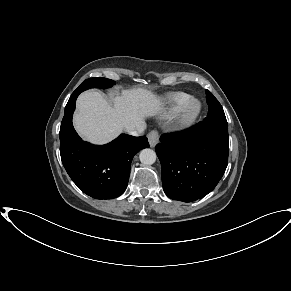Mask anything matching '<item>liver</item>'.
<instances>
[{"label": "liver", "instance_id": "1", "mask_svg": "<svg viewBox=\"0 0 291 291\" xmlns=\"http://www.w3.org/2000/svg\"><path fill=\"white\" fill-rule=\"evenodd\" d=\"M74 126L77 132L93 144H106L123 130H135L145 117L162 110V102L151 91L136 88L116 96L113 106L96 91H86L77 99Z\"/></svg>", "mask_w": 291, "mask_h": 291}]
</instances>
